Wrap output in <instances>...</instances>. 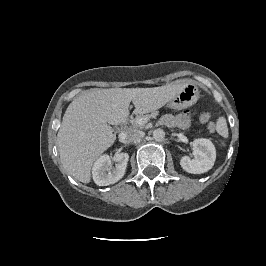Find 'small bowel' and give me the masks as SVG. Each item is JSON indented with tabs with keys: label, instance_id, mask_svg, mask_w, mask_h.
I'll use <instances>...</instances> for the list:
<instances>
[{
	"label": "small bowel",
	"instance_id": "obj_1",
	"mask_svg": "<svg viewBox=\"0 0 266 266\" xmlns=\"http://www.w3.org/2000/svg\"><path fill=\"white\" fill-rule=\"evenodd\" d=\"M163 122L171 127L187 128L190 125V116L188 113L166 115Z\"/></svg>",
	"mask_w": 266,
	"mask_h": 266
}]
</instances>
